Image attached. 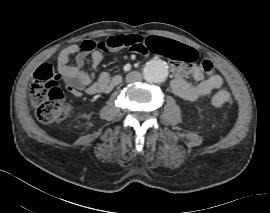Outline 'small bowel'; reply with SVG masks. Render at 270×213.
I'll use <instances>...</instances> for the list:
<instances>
[{"label":"small bowel","mask_w":270,"mask_h":213,"mask_svg":"<svg viewBox=\"0 0 270 213\" xmlns=\"http://www.w3.org/2000/svg\"><path fill=\"white\" fill-rule=\"evenodd\" d=\"M161 43L170 45L172 50L165 54L171 59V68L174 74L172 88L175 93L184 100L194 101L219 89L224 80L223 77L212 70L207 73L202 67L195 65L198 54L190 46L183 45L168 39H160ZM130 48L125 35H115L100 41L84 40L79 44L65 47L58 57V68L66 84L67 91L74 97H79L82 91L95 95L112 90L121 82L120 75L111 76L103 71L96 75L106 53ZM158 50L157 47L147 43L144 47L136 42L135 54ZM90 56L91 72L84 69V62ZM74 58L75 63L69 64ZM191 76L197 83L187 82L185 78Z\"/></svg>","instance_id":"small-bowel-1"}]
</instances>
